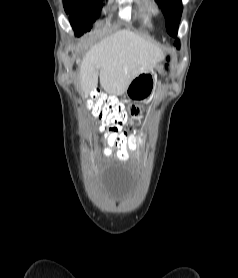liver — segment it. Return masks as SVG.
Masks as SVG:
<instances>
[{
	"mask_svg": "<svg viewBox=\"0 0 238 278\" xmlns=\"http://www.w3.org/2000/svg\"><path fill=\"white\" fill-rule=\"evenodd\" d=\"M162 50L153 42L127 30H119L92 46L79 61V88L87 95L100 85L110 95H123L132 79L151 72Z\"/></svg>",
	"mask_w": 238,
	"mask_h": 278,
	"instance_id": "6515ba94",
	"label": "liver"
}]
</instances>
